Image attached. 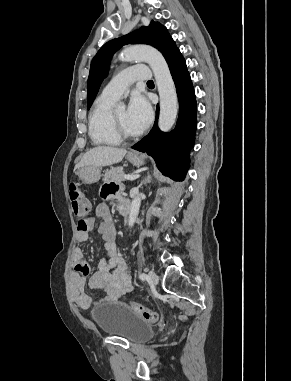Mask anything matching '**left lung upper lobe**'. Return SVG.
<instances>
[{
  "instance_id": "obj_1",
  "label": "left lung upper lobe",
  "mask_w": 291,
  "mask_h": 381,
  "mask_svg": "<svg viewBox=\"0 0 291 381\" xmlns=\"http://www.w3.org/2000/svg\"><path fill=\"white\" fill-rule=\"evenodd\" d=\"M128 43L149 44L157 48L164 56L166 61L178 50L175 42L167 33L166 27L159 22L151 21L148 27H142L140 30L128 35L113 39L107 42L94 56L88 77V95L87 106L90 107L96 97L99 87L106 77L108 67L113 54Z\"/></svg>"
}]
</instances>
